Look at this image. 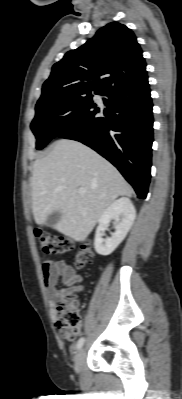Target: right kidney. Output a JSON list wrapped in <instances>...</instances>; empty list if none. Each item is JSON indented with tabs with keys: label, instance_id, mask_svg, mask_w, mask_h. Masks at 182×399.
Wrapping results in <instances>:
<instances>
[{
	"label": "right kidney",
	"instance_id": "1",
	"mask_svg": "<svg viewBox=\"0 0 182 399\" xmlns=\"http://www.w3.org/2000/svg\"><path fill=\"white\" fill-rule=\"evenodd\" d=\"M136 217V210L127 197H121L112 202L101 214L96 229L94 248L100 255L111 254L124 240ZM111 220H115L116 230L111 237L104 239L103 235Z\"/></svg>",
	"mask_w": 182,
	"mask_h": 399
}]
</instances>
